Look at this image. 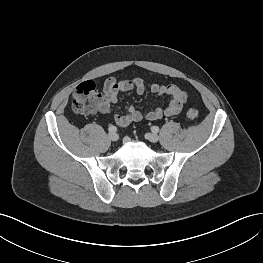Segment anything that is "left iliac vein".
<instances>
[{
    "instance_id": "obj_1",
    "label": "left iliac vein",
    "mask_w": 263,
    "mask_h": 263,
    "mask_svg": "<svg viewBox=\"0 0 263 263\" xmlns=\"http://www.w3.org/2000/svg\"><path fill=\"white\" fill-rule=\"evenodd\" d=\"M147 139L150 142H157L159 140V136L157 134H154V133H148L147 134Z\"/></svg>"
}]
</instances>
